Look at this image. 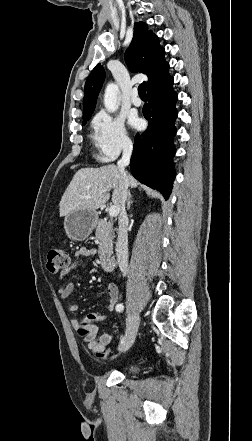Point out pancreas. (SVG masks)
<instances>
[{
	"label": "pancreas",
	"instance_id": "obj_1",
	"mask_svg": "<svg viewBox=\"0 0 252 441\" xmlns=\"http://www.w3.org/2000/svg\"><path fill=\"white\" fill-rule=\"evenodd\" d=\"M95 236L99 244V259L100 261H106L111 256L113 250L115 233L112 223L107 219L99 220L97 222Z\"/></svg>",
	"mask_w": 252,
	"mask_h": 441
}]
</instances>
